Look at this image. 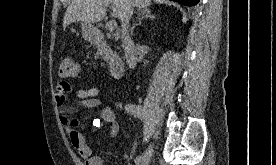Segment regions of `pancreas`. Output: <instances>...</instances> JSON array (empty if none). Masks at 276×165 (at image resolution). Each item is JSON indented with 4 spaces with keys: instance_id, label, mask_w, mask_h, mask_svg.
I'll return each instance as SVG.
<instances>
[{
    "instance_id": "pancreas-1",
    "label": "pancreas",
    "mask_w": 276,
    "mask_h": 165,
    "mask_svg": "<svg viewBox=\"0 0 276 165\" xmlns=\"http://www.w3.org/2000/svg\"><path fill=\"white\" fill-rule=\"evenodd\" d=\"M97 55H101V53H100V52H98V53H97Z\"/></svg>"
}]
</instances>
